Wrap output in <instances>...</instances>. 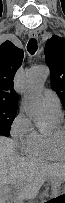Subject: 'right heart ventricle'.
Returning <instances> with one entry per match:
<instances>
[{"label": "right heart ventricle", "instance_id": "1", "mask_svg": "<svg viewBox=\"0 0 65 203\" xmlns=\"http://www.w3.org/2000/svg\"><path fill=\"white\" fill-rule=\"evenodd\" d=\"M27 154L31 158L41 160H59L62 157L56 151L53 140L44 133H37L34 143L27 150Z\"/></svg>", "mask_w": 65, "mask_h": 203}]
</instances>
